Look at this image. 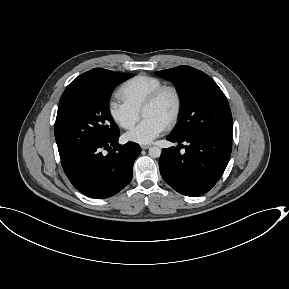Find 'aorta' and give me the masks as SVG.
Here are the masks:
<instances>
[{
	"mask_svg": "<svg viewBox=\"0 0 289 289\" xmlns=\"http://www.w3.org/2000/svg\"><path fill=\"white\" fill-rule=\"evenodd\" d=\"M161 155V149L157 146L149 148V156L152 158H158Z\"/></svg>",
	"mask_w": 289,
	"mask_h": 289,
	"instance_id": "762f6f07",
	"label": "aorta"
}]
</instances>
